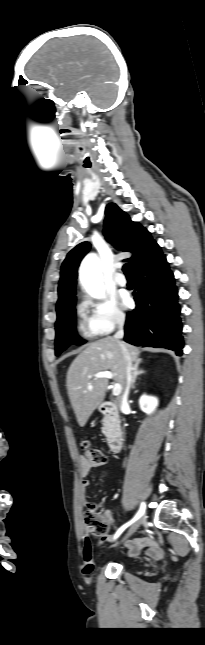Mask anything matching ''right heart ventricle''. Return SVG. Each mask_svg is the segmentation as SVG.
Listing matches in <instances>:
<instances>
[{
    "label": "right heart ventricle",
    "instance_id": "right-heart-ventricle-1",
    "mask_svg": "<svg viewBox=\"0 0 205 645\" xmlns=\"http://www.w3.org/2000/svg\"><path fill=\"white\" fill-rule=\"evenodd\" d=\"M81 329L83 330L84 334H86V335H88V336L90 335V334L88 333V331H87L85 321H82V322H81Z\"/></svg>",
    "mask_w": 205,
    "mask_h": 645
}]
</instances>
